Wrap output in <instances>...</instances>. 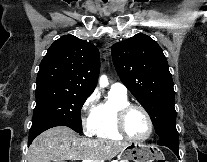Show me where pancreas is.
Here are the masks:
<instances>
[{
	"label": "pancreas",
	"mask_w": 207,
	"mask_h": 162,
	"mask_svg": "<svg viewBox=\"0 0 207 162\" xmlns=\"http://www.w3.org/2000/svg\"><path fill=\"white\" fill-rule=\"evenodd\" d=\"M122 162H128L127 160H125V161H122Z\"/></svg>",
	"instance_id": "obj_1"
}]
</instances>
